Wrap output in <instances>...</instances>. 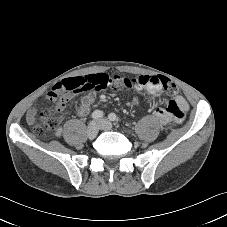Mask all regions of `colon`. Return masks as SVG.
Listing matches in <instances>:
<instances>
[{
	"label": "colon",
	"mask_w": 227,
	"mask_h": 227,
	"mask_svg": "<svg viewBox=\"0 0 227 227\" xmlns=\"http://www.w3.org/2000/svg\"><path fill=\"white\" fill-rule=\"evenodd\" d=\"M103 74V73H99ZM98 75V74H97ZM70 79V78H67ZM66 80V79H64ZM142 84H160L168 93L175 94L177 92L176 85L169 79L162 76H150L140 80ZM136 84V79H133V86ZM114 89L121 87L113 86ZM105 89V88H103ZM99 91V90H95ZM60 112L58 108L46 109L39 114V123L35 126V134L37 136H45L47 132L56 129L60 124Z\"/></svg>",
	"instance_id": "colon-1"
}]
</instances>
